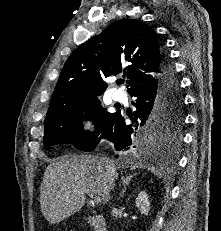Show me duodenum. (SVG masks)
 Returning a JSON list of instances; mask_svg holds the SVG:
<instances>
[{
	"mask_svg": "<svg viewBox=\"0 0 221 231\" xmlns=\"http://www.w3.org/2000/svg\"><path fill=\"white\" fill-rule=\"evenodd\" d=\"M88 222L91 224L95 231H106V223L102 216L93 215L88 217Z\"/></svg>",
	"mask_w": 221,
	"mask_h": 231,
	"instance_id": "duodenum-1",
	"label": "duodenum"
}]
</instances>
